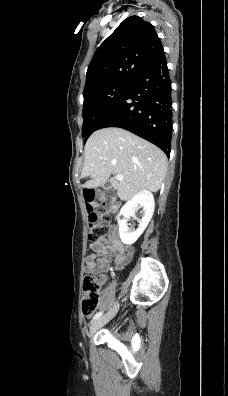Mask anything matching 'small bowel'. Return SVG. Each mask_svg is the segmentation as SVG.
I'll use <instances>...</instances> for the list:
<instances>
[{
	"label": "small bowel",
	"mask_w": 228,
	"mask_h": 396,
	"mask_svg": "<svg viewBox=\"0 0 228 396\" xmlns=\"http://www.w3.org/2000/svg\"><path fill=\"white\" fill-rule=\"evenodd\" d=\"M92 252L87 256L85 269L88 273H95L99 276L101 282L104 281L102 272L111 260V254L117 255V262L123 264L130 258L133 250L131 247L124 245L117 237V230L112 229L110 239L103 240L99 244H91Z\"/></svg>",
	"instance_id": "small-bowel-1"
}]
</instances>
